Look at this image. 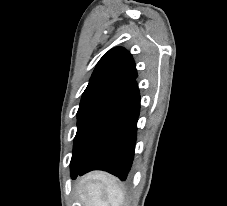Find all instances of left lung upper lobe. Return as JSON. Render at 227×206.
I'll return each instance as SVG.
<instances>
[{
  "label": "left lung upper lobe",
  "mask_w": 227,
  "mask_h": 206,
  "mask_svg": "<svg viewBox=\"0 0 227 206\" xmlns=\"http://www.w3.org/2000/svg\"><path fill=\"white\" fill-rule=\"evenodd\" d=\"M136 77L134 60L122 47L112 48L99 60L77 112V133L70 168L87 154L96 125L109 103Z\"/></svg>",
  "instance_id": "5c2ea615"
}]
</instances>
